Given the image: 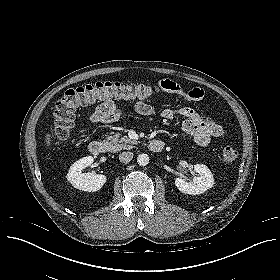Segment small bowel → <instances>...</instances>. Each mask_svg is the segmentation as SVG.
Returning <instances> with one entry per match:
<instances>
[{"label":"small bowel","mask_w":280,"mask_h":280,"mask_svg":"<svg viewBox=\"0 0 280 280\" xmlns=\"http://www.w3.org/2000/svg\"><path fill=\"white\" fill-rule=\"evenodd\" d=\"M159 87L162 91L173 94L187 103L199 102L205 96V92L201 88L185 90L182 86L171 80L160 81ZM134 111L145 116H152L156 113V109L152 104L141 100L135 102ZM121 116L122 111L112 100L108 99L94 111L91 120L93 122L112 123ZM160 116L166 121L174 120L178 117L183 118V131L191 136L194 142L200 146H206L212 139L225 135L224 128L213 118L200 115L190 107L180 109L166 108L161 111Z\"/></svg>","instance_id":"c3829d8e"}]
</instances>
